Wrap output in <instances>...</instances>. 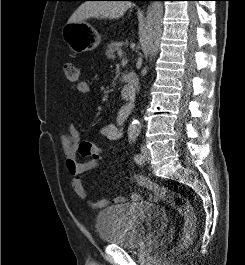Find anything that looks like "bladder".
I'll use <instances>...</instances> for the list:
<instances>
[{
  "label": "bladder",
  "mask_w": 245,
  "mask_h": 265,
  "mask_svg": "<svg viewBox=\"0 0 245 265\" xmlns=\"http://www.w3.org/2000/svg\"><path fill=\"white\" fill-rule=\"evenodd\" d=\"M168 223L169 216L161 206L140 202L102 209L95 227L104 243L140 248L160 235Z\"/></svg>",
  "instance_id": "bladder-1"
}]
</instances>
